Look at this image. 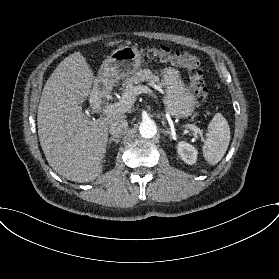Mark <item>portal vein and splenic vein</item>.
Returning <instances> with one entry per match:
<instances>
[{
	"mask_svg": "<svg viewBox=\"0 0 279 279\" xmlns=\"http://www.w3.org/2000/svg\"><path fill=\"white\" fill-rule=\"evenodd\" d=\"M154 85L151 84V87H153ZM150 89L147 86H143V85H138L136 86L132 92L127 93L126 97L124 98L123 101L121 102H116L114 104H107L104 106L103 110L101 111L103 114L108 115V116H112L115 113H122L124 112L125 109H127L126 107H122L121 104H123L124 106L128 105V104H133L134 101L132 99V97L134 95H138L141 93H146L149 92ZM189 128L194 131L195 133H199L200 130L197 126L195 125H189Z\"/></svg>",
	"mask_w": 279,
	"mask_h": 279,
	"instance_id": "1",
	"label": "portal vein and splenic vein"
}]
</instances>
